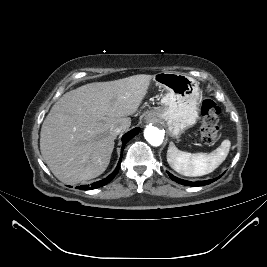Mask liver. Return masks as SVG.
Returning a JSON list of instances; mask_svg holds the SVG:
<instances>
[{
    "instance_id": "obj_1",
    "label": "liver",
    "mask_w": 267,
    "mask_h": 267,
    "mask_svg": "<svg viewBox=\"0 0 267 267\" xmlns=\"http://www.w3.org/2000/svg\"><path fill=\"white\" fill-rule=\"evenodd\" d=\"M154 76L139 74L83 85L52 106L40 132V150L51 172L65 184L101 175L110 162L116 136L145 98Z\"/></svg>"
}]
</instances>
